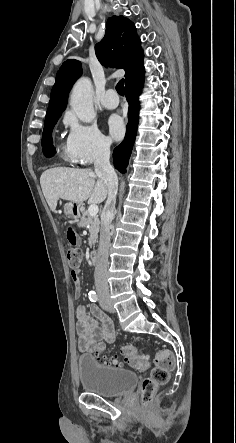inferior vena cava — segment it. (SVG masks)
Listing matches in <instances>:
<instances>
[{"instance_id": "inferior-vena-cava-1", "label": "inferior vena cava", "mask_w": 236, "mask_h": 443, "mask_svg": "<svg viewBox=\"0 0 236 443\" xmlns=\"http://www.w3.org/2000/svg\"><path fill=\"white\" fill-rule=\"evenodd\" d=\"M111 140L104 138L95 155V173L101 177L107 185L108 197L102 212L100 240L94 272L95 287L98 293L99 303L109 304V288L107 283L108 251L110 247V224L114 217L116 195L118 191V177L109 162Z\"/></svg>"}]
</instances>
